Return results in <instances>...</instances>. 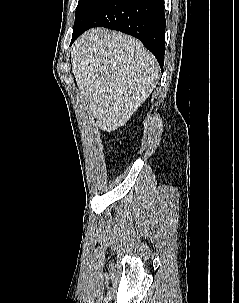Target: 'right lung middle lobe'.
Masks as SVG:
<instances>
[{
  "mask_svg": "<svg viewBox=\"0 0 239 303\" xmlns=\"http://www.w3.org/2000/svg\"><path fill=\"white\" fill-rule=\"evenodd\" d=\"M106 0H79L76 8L73 34L83 29Z\"/></svg>",
  "mask_w": 239,
  "mask_h": 303,
  "instance_id": "1",
  "label": "right lung middle lobe"
}]
</instances>
